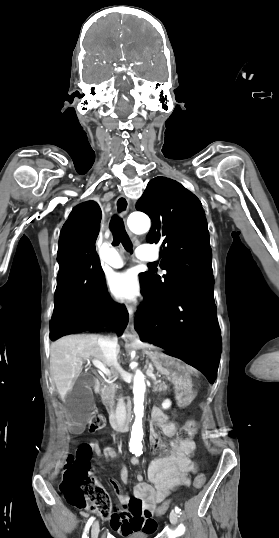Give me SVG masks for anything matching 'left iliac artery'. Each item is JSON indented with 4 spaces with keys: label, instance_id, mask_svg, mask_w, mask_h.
<instances>
[{
    "label": "left iliac artery",
    "instance_id": "1",
    "mask_svg": "<svg viewBox=\"0 0 279 538\" xmlns=\"http://www.w3.org/2000/svg\"><path fill=\"white\" fill-rule=\"evenodd\" d=\"M141 453H142L141 449H137V450L135 451L136 456H140ZM180 511H181L180 508L176 506V507H175V512L179 514Z\"/></svg>",
    "mask_w": 279,
    "mask_h": 538
}]
</instances>
